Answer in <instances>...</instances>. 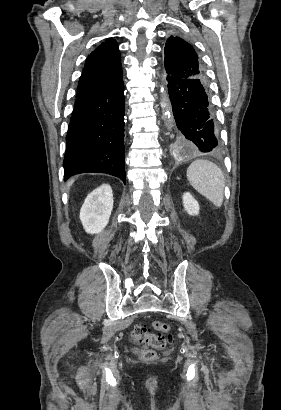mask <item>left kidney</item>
Returning a JSON list of instances; mask_svg holds the SVG:
<instances>
[{"instance_id":"1","label":"left kidney","mask_w":281,"mask_h":410,"mask_svg":"<svg viewBox=\"0 0 281 410\" xmlns=\"http://www.w3.org/2000/svg\"><path fill=\"white\" fill-rule=\"evenodd\" d=\"M183 206L189 215L194 216L199 213V204L189 192L183 195Z\"/></svg>"}]
</instances>
